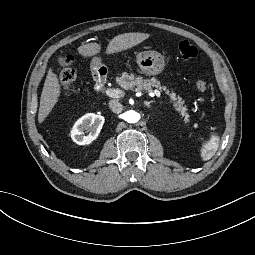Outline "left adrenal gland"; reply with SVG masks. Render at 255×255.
Segmentation results:
<instances>
[{
    "instance_id": "a2214340",
    "label": "left adrenal gland",
    "mask_w": 255,
    "mask_h": 255,
    "mask_svg": "<svg viewBox=\"0 0 255 255\" xmlns=\"http://www.w3.org/2000/svg\"><path fill=\"white\" fill-rule=\"evenodd\" d=\"M153 102H145V106H147L149 109H151V104H152Z\"/></svg>"
}]
</instances>
